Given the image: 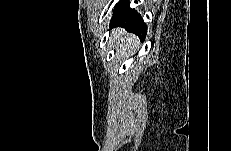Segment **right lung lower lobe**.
<instances>
[{"label": "right lung lower lobe", "instance_id": "1", "mask_svg": "<svg viewBox=\"0 0 231 151\" xmlns=\"http://www.w3.org/2000/svg\"><path fill=\"white\" fill-rule=\"evenodd\" d=\"M112 26L124 27L126 31L135 33L143 41L146 37L147 27L141 15L131 9L128 1H121L115 7L111 19Z\"/></svg>", "mask_w": 231, "mask_h": 151}]
</instances>
